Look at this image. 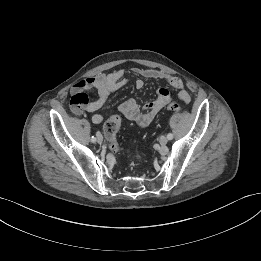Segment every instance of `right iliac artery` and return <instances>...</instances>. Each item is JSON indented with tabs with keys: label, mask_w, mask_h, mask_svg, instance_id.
I'll return each instance as SVG.
<instances>
[{
	"label": "right iliac artery",
	"mask_w": 261,
	"mask_h": 261,
	"mask_svg": "<svg viewBox=\"0 0 261 261\" xmlns=\"http://www.w3.org/2000/svg\"><path fill=\"white\" fill-rule=\"evenodd\" d=\"M91 141H92V142H95V141H96V138H95L94 136H92Z\"/></svg>",
	"instance_id": "right-iliac-artery-1"
}]
</instances>
